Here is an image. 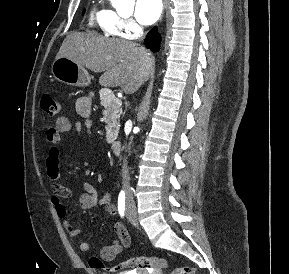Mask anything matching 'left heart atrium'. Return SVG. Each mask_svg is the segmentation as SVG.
Returning <instances> with one entry per match:
<instances>
[{"label": "left heart atrium", "mask_w": 289, "mask_h": 274, "mask_svg": "<svg viewBox=\"0 0 289 274\" xmlns=\"http://www.w3.org/2000/svg\"><path fill=\"white\" fill-rule=\"evenodd\" d=\"M162 13V0H137L135 17L143 25H150L158 20Z\"/></svg>", "instance_id": "1"}]
</instances>
